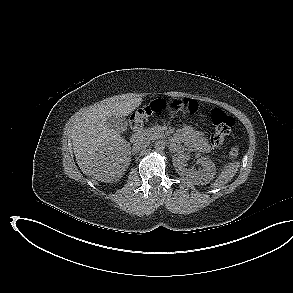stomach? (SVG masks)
Returning <instances> with one entry per match:
<instances>
[{
	"label": "stomach",
	"mask_w": 293,
	"mask_h": 293,
	"mask_svg": "<svg viewBox=\"0 0 293 293\" xmlns=\"http://www.w3.org/2000/svg\"><path fill=\"white\" fill-rule=\"evenodd\" d=\"M184 108V102L181 99H177L171 102L170 110L172 113H178Z\"/></svg>",
	"instance_id": "stomach-1"
}]
</instances>
